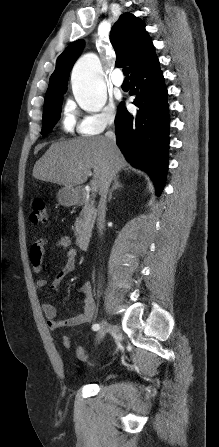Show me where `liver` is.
Wrapping results in <instances>:
<instances>
[{
	"instance_id": "obj_1",
	"label": "liver",
	"mask_w": 219,
	"mask_h": 447,
	"mask_svg": "<svg viewBox=\"0 0 219 447\" xmlns=\"http://www.w3.org/2000/svg\"><path fill=\"white\" fill-rule=\"evenodd\" d=\"M126 165L124 156L115 145L112 150L106 137L79 138L52 144L35 163L33 177L67 187L87 181L94 169L93 180L100 192L108 172L116 173Z\"/></svg>"
}]
</instances>
